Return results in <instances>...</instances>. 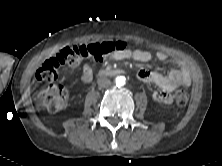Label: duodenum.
Masks as SVG:
<instances>
[{
    "mask_svg": "<svg viewBox=\"0 0 222 166\" xmlns=\"http://www.w3.org/2000/svg\"><path fill=\"white\" fill-rule=\"evenodd\" d=\"M122 72H123V70H120V69L107 68V69L100 70L98 73V76H101V77L102 76H112V75L120 74Z\"/></svg>",
    "mask_w": 222,
    "mask_h": 166,
    "instance_id": "obj_1",
    "label": "duodenum"
}]
</instances>
